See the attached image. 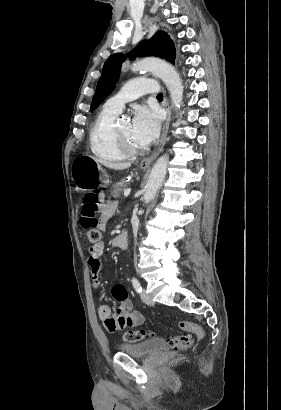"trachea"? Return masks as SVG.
Instances as JSON below:
<instances>
[{
	"label": "trachea",
	"instance_id": "obj_1",
	"mask_svg": "<svg viewBox=\"0 0 281 410\" xmlns=\"http://www.w3.org/2000/svg\"><path fill=\"white\" fill-rule=\"evenodd\" d=\"M157 98H163V94H162V93H159V94L157 95Z\"/></svg>",
	"mask_w": 281,
	"mask_h": 410
}]
</instances>
